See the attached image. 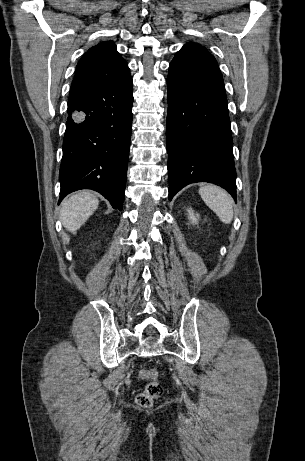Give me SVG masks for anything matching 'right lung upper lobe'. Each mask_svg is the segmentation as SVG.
I'll return each instance as SVG.
<instances>
[{
  "instance_id": "cb5924a9",
  "label": "right lung upper lobe",
  "mask_w": 305,
  "mask_h": 461,
  "mask_svg": "<svg viewBox=\"0 0 305 461\" xmlns=\"http://www.w3.org/2000/svg\"><path fill=\"white\" fill-rule=\"evenodd\" d=\"M129 73L126 61L112 41L90 48L77 64L71 89L103 84Z\"/></svg>"
}]
</instances>
